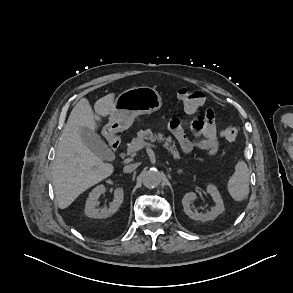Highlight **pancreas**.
I'll use <instances>...</instances> for the list:
<instances>
[{
    "label": "pancreas",
    "instance_id": "pancreas-1",
    "mask_svg": "<svg viewBox=\"0 0 293 293\" xmlns=\"http://www.w3.org/2000/svg\"><path fill=\"white\" fill-rule=\"evenodd\" d=\"M145 140H149L151 142H155L158 141L159 143H162L163 147L166 148L168 150V152L170 153V155L173 157L174 160H179L180 157V153L177 150L176 147V142L173 141L170 137H164L163 134H155L152 132L151 129H147V130H140L137 133V137L133 138L131 143H129L127 146V154L134 156L136 154L135 151V146L141 142V141H145ZM187 163V161H185Z\"/></svg>",
    "mask_w": 293,
    "mask_h": 293
}]
</instances>
